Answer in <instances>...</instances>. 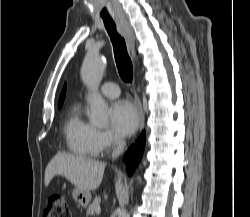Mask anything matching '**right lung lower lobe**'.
<instances>
[{
    "label": "right lung lower lobe",
    "instance_id": "right-lung-lower-lobe-1",
    "mask_svg": "<svg viewBox=\"0 0 250 217\" xmlns=\"http://www.w3.org/2000/svg\"><path fill=\"white\" fill-rule=\"evenodd\" d=\"M145 148V132L143 131L139 137L137 143L132 145L125 155V159L128 160L127 171L129 175H132L137 165L139 164Z\"/></svg>",
    "mask_w": 250,
    "mask_h": 217
}]
</instances>
